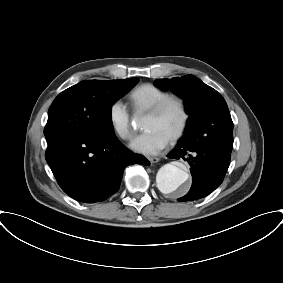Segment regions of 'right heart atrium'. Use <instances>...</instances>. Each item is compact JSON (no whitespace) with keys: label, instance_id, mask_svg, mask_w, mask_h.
<instances>
[{"label":"right heart atrium","instance_id":"obj_1","mask_svg":"<svg viewBox=\"0 0 283 283\" xmlns=\"http://www.w3.org/2000/svg\"><path fill=\"white\" fill-rule=\"evenodd\" d=\"M108 118L112 130L119 138L128 140L133 136L131 114L121 100H116L110 105Z\"/></svg>","mask_w":283,"mask_h":283}]
</instances>
